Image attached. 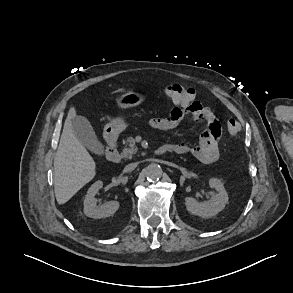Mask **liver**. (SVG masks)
Listing matches in <instances>:
<instances>
[{"instance_id": "6515ba94", "label": "liver", "mask_w": 293, "mask_h": 293, "mask_svg": "<svg viewBox=\"0 0 293 293\" xmlns=\"http://www.w3.org/2000/svg\"><path fill=\"white\" fill-rule=\"evenodd\" d=\"M75 116L76 110L72 107L54 157V191L60 205L69 201L96 175L94 159L73 132L71 119Z\"/></svg>"}]
</instances>
